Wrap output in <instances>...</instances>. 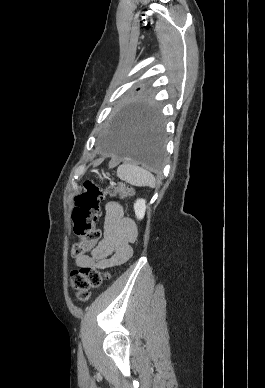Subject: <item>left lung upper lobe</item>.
I'll use <instances>...</instances> for the list:
<instances>
[{
    "label": "left lung upper lobe",
    "instance_id": "obj_1",
    "mask_svg": "<svg viewBox=\"0 0 265 388\" xmlns=\"http://www.w3.org/2000/svg\"><path fill=\"white\" fill-rule=\"evenodd\" d=\"M153 102L149 93H142L132 99L126 104L125 108H134V109H149L152 108Z\"/></svg>",
    "mask_w": 265,
    "mask_h": 388
}]
</instances>
